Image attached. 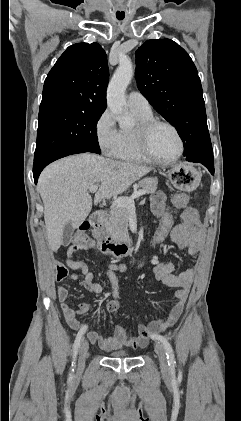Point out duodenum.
<instances>
[{
  "label": "duodenum",
  "instance_id": "duodenum-1",
  "mask_svg": "<svg viewBox=\"0 0 241 421\" xmlns=\"http://www.w3.org/2000/svg\"><path fill=\"white\" fill-rule=\"evenodd\" d=\"M106 212L98 210L92 213L90 217L93 226L94 237L97 240L99 250L104 254L115 257L126 256L131 251V244L126 239L112 237L104 227Z\"/></svg>",
  "mask_w": 241,
  "mask_h": 421
}]
</instances>
